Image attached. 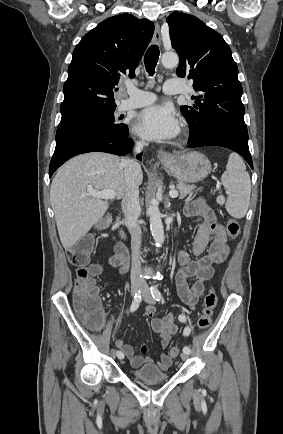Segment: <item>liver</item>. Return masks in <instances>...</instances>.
I'll return each instance as SVG.
<instances>
[{
  "instance_id": "liver-1",
  "label": "liver",
  "mask_w": 283,
  "mask_h": 434,
  "mask_svg": "<svg viewBox=\"0 0 283 434\" xmlns=\"http://www.w3.org/2000/svg\"><path fill=\"white\" fill-rule=\"evenodd\" d=\"M122 159L116 155L92 152L74 157L59 168L50 187V201L58 234L65 249L71 248L106 213L109 203L88 195V190L125 193ZM143 181L142 170L137 182Z\"/></svg>"
}]
</instances>
